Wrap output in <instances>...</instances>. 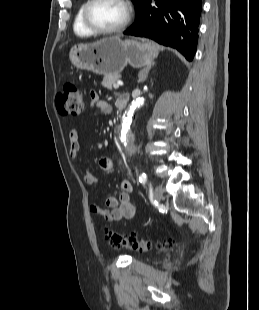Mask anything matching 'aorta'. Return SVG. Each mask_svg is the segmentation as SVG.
<instances>
[{"label": "aorta", "mask_w": 259, "mask_h": 310, "mask_svg": "<svg viewBox=\"0 0 259 310\" xmlns=\"http://www.w3.org/2000/svg\"><path fill=\"white\" fill-rule=\"evenodd\" d=\"M143 103H144L143 97H139L133 100L122 118L120 141L122 145L125 147V149H128L130 153L135 152V146H134L135 138L134 134L130 129L132 123V117L135 111L138 110L143 105Z\"/></svg>", "instance_id": "aorta-1"}]
</instances>
